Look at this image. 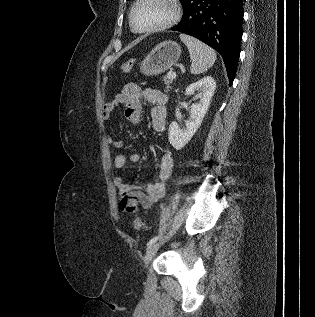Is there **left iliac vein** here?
<instances>
[{"label":"left iliac vein","mask_w":315,"mask_h":317,"mask_svg":"<svg viewBox=\"0 0 315 317\" xmlns=\"http://www.w3.org/2000/svg\"><path fill=\"white\" fill-rule=\"evenodd\" d=\"M160 246V243L159 242H155L153 243L151 246H149L145 252V255L143 257V263L145 266H147L152 258L154 257V255L156 254L158 248Z\"/></svg>","instance_id":"4c4485c4"}]
</instances>
